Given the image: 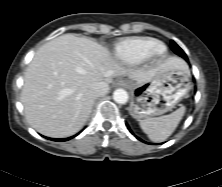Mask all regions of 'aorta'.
<instances>
[{
	"label": "aorta",
	"mask_w": 222,
	"mask_h": 187,
	"mask_svg": "<svg viewBox=\"0 0 222 187\" xmlns=\"http://www.w3.org/2000/svg\"><path fill=\"white\" fill-rule=\"evenodd\" d=\"M113 99L118 104H125L128 101V93L124 89H116L113 93Z\"/></svg>",
	"instance_id": "762f6f07"
}]
</instances>
